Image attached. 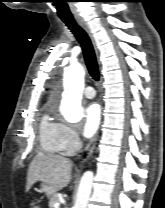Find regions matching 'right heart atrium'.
<instances>
[{
  "label": "right heart atrium",
  "instance_id": "1",
  "mask_svg": "<svg viewBox=\"0 0 165 208\" xmlns=\"http://www.w3.org/2000/svg\"><path fill=\"white\" fill-rule=\"evenodd\" d=\"M62 153L72 155L81 145L77 129L65 122L58 123Z\"/></svg>",
  "mask_w": 165,
  "mask_h": 208
}]
</instances>
